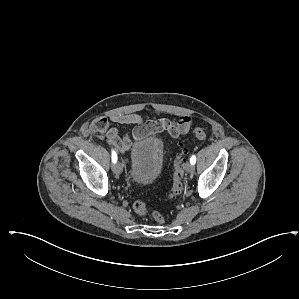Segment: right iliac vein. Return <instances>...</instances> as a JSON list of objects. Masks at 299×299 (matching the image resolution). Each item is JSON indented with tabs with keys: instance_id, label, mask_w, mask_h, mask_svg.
I'll return each instance as SVG.
<instances>
[{
	"instance_id": "obj_1",
	"label": "right iliac vein",
	"mask_w": 299,
	"mask_h": 299,
	"mask_svg": "<svg viewBox=\"0 0 299 299\" xmlns=\"http://www.w3.org/2000/svg\"><path fill=\"white\" fill-rule=\"evenodd\" d=\"M112 170L116 175H120L122 173L123 169H122L121 164L118 162L115 165H113Z\"/></svg>"
}]
</instances>
